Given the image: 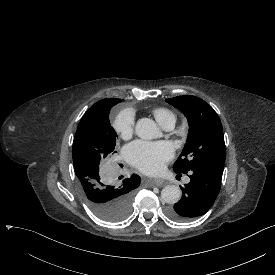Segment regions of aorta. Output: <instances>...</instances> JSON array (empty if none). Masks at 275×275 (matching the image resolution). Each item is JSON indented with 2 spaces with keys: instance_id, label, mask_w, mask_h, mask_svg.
Returning <instances> with one entry per match:
<instances>
[{
  "instance_id": "obj_1",
  "label": "aorta",
  "mask_w": 275,
  "mask_h": 275,
  "mask_svg": "<svg viewBox=\"0 0 275 275\" xmlns=\"http://www.w3.org/2000/svg\"><path fill=\"white\" fill-rule=\"evenodd\" d=\"M136 134L144 140H152L162 137L161 128L149 118L140 119L136 125ZM161 198L164 202L174 204L181 198V190L175 185H166L161 191Z\"/></svg>"
}]
</instances>
